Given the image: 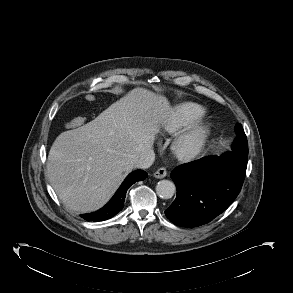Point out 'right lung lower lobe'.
<instances>
[{"label":"right lung lower lobe","instance_id":"98d812e1","mask_svg":"<svg viewBox=\"0 0 293 293\" xmlns=\"http://www.w3.org/2000/svg\"><path fill=\"white\" fill-rule=\"evenodd\" d=\"M147 176L148 174L143 170L130 173L103 208L93 213L82 214L81 217L88 221H103L113 217L123 209L127 189L135 182L144 180Z\"/></svg>","mask_w":293,"mask_h":293}]
</instances>
